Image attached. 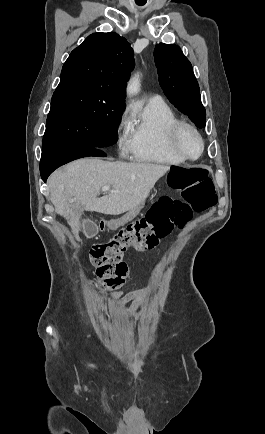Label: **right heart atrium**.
Returning <instances> with one entry per match:
<instances>
[{
  "label": "right heart atrium",
  "instance_id": "d8ad5b80",
  "mask_svg": "<svg viewBox=\"0 0 265 434\" xmlns=\"http://www.w3.org/2000/svg\"><path fill=\"white\" fill-rule=\"evenodd\" d=\"M122 113H127V108H122ZM117 127L115 128L116 134V143L119 145L117 151L119 154H128L130 151L129 146V127H128V119L126 116L121 115L117 119Z\"/></svg>",
  "mask_w": 265,
  "mask_h": 434
}]
</instances>
